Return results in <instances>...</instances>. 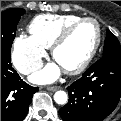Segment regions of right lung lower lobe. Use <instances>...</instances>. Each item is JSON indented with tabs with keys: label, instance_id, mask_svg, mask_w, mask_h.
I'll list each match as a JSON object with an SVG mask.
<instances>
[{
	"label": "right lung lower lobe",
	"instance_id": "1",
	"mask_svg": "<svg viewBox=\"0 0 121 121\" xmlns=\"http://www.w3.org/2000/svg\"><path fill=\"white\" fill-rule=\"evenodd\" d=\"M37 90L12 68L10 54L1 53V121H22Z\"/></svg>",
	"mask_w": 121,
	"mask_h": 121
}]
</instances>
